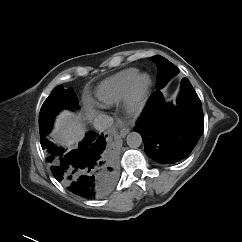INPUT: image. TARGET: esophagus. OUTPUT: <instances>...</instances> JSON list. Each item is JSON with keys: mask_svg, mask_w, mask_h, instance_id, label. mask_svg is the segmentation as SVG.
<instances>
[{"mask_svg": "<svg viewBox=\"0 0 242 242\" xmlns=\"http://www.w3.org/2000/svg\"><path fill=\"white\" fill-rule=\"evenodd\" d=\"M119 130H120V136L125 137L129 133L130 128L126 125H121Z\"/></svg>", "mask_w": 242, "mask_h": 242, "instance_id": "1", "label": "esophagus"}]
</instances>
